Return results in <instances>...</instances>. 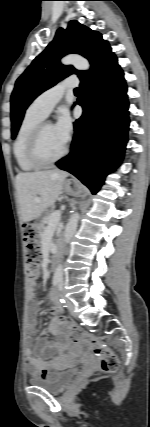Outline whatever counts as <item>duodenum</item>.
<instances>
[{
  "label": "duodenum",
  "mask_w": 150,
  "mask_h": 427,
  "mask_svg": "<svg viewBox=\"0 0 150 427\" xmlns=\"http://www.w3.org/2000/svg\"><path fill=\"white\" fill-rule=\"evenodd\" d=\"M56 262H57V256H56V254H54L53 256H52V258L50 259V267L53 269V268H55V266H56Z\"/></svg>",
  "instance_id": "1"
}]
</instances>
